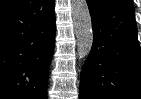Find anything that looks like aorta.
Masks as SVG:
<instances>
[{"mask_svg": "<svg viewBox=\"0 0 141 99\" xmlns=\"http://www.w3.org/2000/svg\"><path fill=\"white\" fill-rule=\"evenodd\" d=\"M72 17L77 42V54L85 58L90 54L93 44L91 16L86 0H72Z\"/></svg>", "mask_w": 141, "mask_h": 99, "instance_id": "aorta-1", "label": "aorta"}]
</instances>
